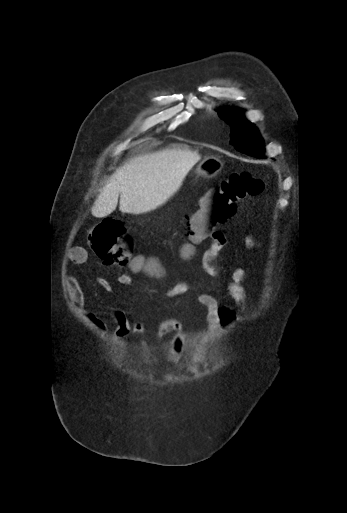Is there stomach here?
<instances>
[{"label": "stomach", "mask_w": 347, "mask_h": 513, "mask_svg": "<svg viewBox=\"0 0 347 513\" xmlns=\"http://www.w3.org/2000/svg\"><path fill=\"white\" fill-rule=\"evenodd\" d=\"M223 167L222 162L216 157L205 158L196 168V173L200 176L211 178L217 175Z\"/></svg>", "instance_id": "obj_1"}]
</instances>
